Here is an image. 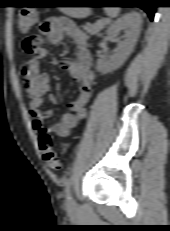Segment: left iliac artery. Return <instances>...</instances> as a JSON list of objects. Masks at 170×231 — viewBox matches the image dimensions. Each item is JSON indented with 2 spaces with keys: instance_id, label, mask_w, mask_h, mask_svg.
Returning a JSON list of instances; mask_svg holds the SVG:
<instances>
[{
  "instance_id": "obj_1",
  "label": "left iliac artery",
  "mask_w": 170,
  "mask_h": 231,
  "mask_svg": "<svg viewBox=\"0 0 170 231\" xmlns=\"http://www.w3.org/2000/svg\"><path fill=\"white\" fill-rule=\"evenodd\" d=\"M71 180H72V178L69 177L64 182L65 194H66V196H67L68 199L70 198Z\"/></svg>"
}]
</instances>
